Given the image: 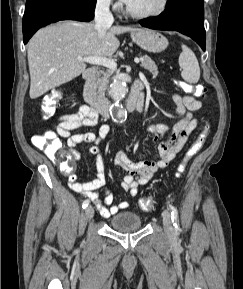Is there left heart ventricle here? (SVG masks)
<instances>
[{"label": "left heart ventricle", "mask_w": 243, "mask_h": 289, "mask_svg": "<svg viewBox=\"0 0 243 289\" xmlns=\"http://www.w3.org/2000/svg\"><path fill=\"white\" fill-rule=\"evenodd\" d=\"M160 0H129L127 5L135 12H148L158 7Z\"/></svg>", "instance_id": "1"}]
</instances>
